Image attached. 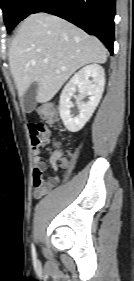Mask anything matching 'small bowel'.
I'll return each mask as SVG.
<instances>
[{"instance_id": "small-bowel-1", "label": "small bowel", "mask_w": 134, "mask_h": 281, "mask_svg": "<svg viewBox=\"0 0 134 281\" xmlns=\"http://www.w3.org/2000/svg\"><path fill=\"white\" fill-rule=\"evenodd\" d=\"M29 132L33 149L34 168L32 173L34 196L40 198L49 193L58 183V177L45 178L47 164L40 156L41 149L50 143V129L43 123H30ZM49 163L53 171H57L58 165H65L60 160V154L53 152L49 158Z\"/></svg>"}]
</instances>
